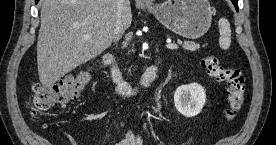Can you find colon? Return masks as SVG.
<instances>
[{"label":"colon","instance_id":"5ec220e1","mask_svg":"<svg viewBox=\"0 0 276 145\" xmlns=\"http://www.w3.org/2000/svg\"><path fill=\"white\" fill-rule=\"evenodd\" d=\"M201 65L210 76L226 85L228 94L226 118L235 119L244 103L246 93V83L242 72L222 66L214 55L205 57ZM88 81L89 76L80 73L65 76L51 85L34 84L29 98L32 113L37 116L53 107L68 103L83 92Z\"/></svg>","mask_w":276,"mask_h":145}]
</instances>
